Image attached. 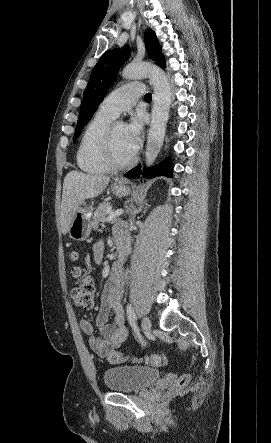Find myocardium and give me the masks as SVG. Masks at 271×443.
<instances>
[{
  "label": "myocardium",
  "mask_w": 271,
  "mask_h": 443,
  "mask_svg": "<svg viewBox=\"0 0 271 443\" xmlns=\"http://www.w3.org/2000/svg\"><path fill=\"white\" fill-rule=\"evenodd\" d=\"M115 124H111L106 132L105 139H104V154L106 161L111 166V168L114 169H125L129 166H131L136 161V155L134 154L130 159L128 160H120L115 152L114 148V128Z\"/></svg>",
  "instance_id": "myocardium-1"
}]
</instances>
